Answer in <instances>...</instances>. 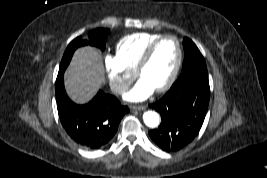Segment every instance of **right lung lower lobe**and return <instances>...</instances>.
Segmentation results:
<instances>
[{"instance_id": "1", "label": "right lung lower lobe", "mask_w": 267, "mask_h": 178, "mask_svg": "<svg viewBox=\"0 0 267 178\" xmlns=\"http://www.w3.org/2000/svg\"><path fill=\"white\" fill-rule=\"evenodd\" d=\"M64 71H59L55 84L62 126L70 138L83 148L96 150L106 146L117 132L122 117L129 111L128 107L121 106L115 96L101 90L87 104L74 103L64 88Z\"/></svg>"}]
</instances>
